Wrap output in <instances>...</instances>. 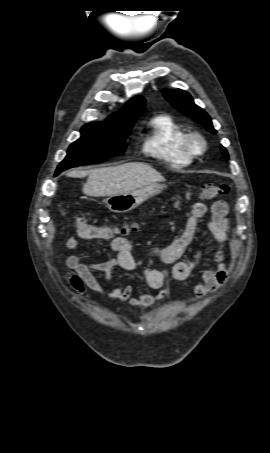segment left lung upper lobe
<instances>
[{"label":"left lung upper lobe","mask_w":270,"mask_h":453,"mask_svg":"<svg viewBox=\"0 0 270 453\" xmlns=\"http://www.w3.org/2000/svg\"><path fill=\"white\" fill-rule=\"evenodd\" d=\"M163 95L175 108H177L184 115L191 117L199 123L203 124L211 133H216V130L213 128L210 116L193 102V99L189 93L181 89H177L164 90ZM221 151L224 156L228 158V153L223 146H221Z\"/></svg>","instance_id":"1"}]
</instances>
